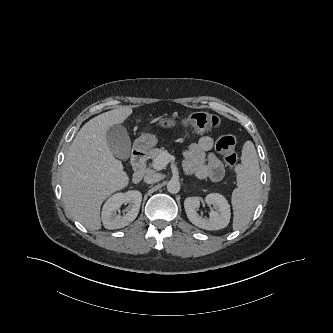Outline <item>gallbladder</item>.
<instances>
[{"label": "gallbladder", "mask_w": 333, "mask_h": 333, "mask_svg": "<svg viewBox=\"0 0 333 333\" xmlns=\"http://www.w3.org/2000/svg\"><path fill=\"white\" fill-rule=\"evenodd\" d=\"M107 144L114 156L127 160L130 156L131 141L126 128L120 124L109 127L106 132Z\"/></svg>", "instance_id": "obj_1"}]
</instances>
